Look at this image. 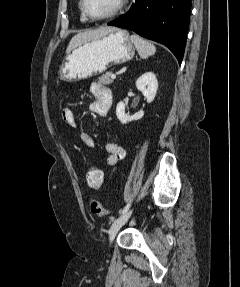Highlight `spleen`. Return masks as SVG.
Listing matches in <instances>:
<instances>
[{
	"instance_id": "spleen-1",
	"label": "spleen",
	"mask_w": 240,
	"mask_h": 287,
	"mask_svg": "<svg viewBox=\"0 0 240 287\" xmlns=\"http://www.w3.org/2000/svg\"><path fill=\"white\" fill-rule=\"evenodd\" d=\"M131 41L134 43L142 59H147L156 52V47L151 42L139 37L138 35H131Z\"/></svg>"
}]
</instances>
